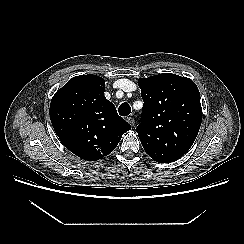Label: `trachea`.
Listing matches in <instances>:
<instances>
[{
	"label": "trachea",
	"mask_w": 244,
	"mask_h": 244,
	"mask_svg": "<svg viewBox=\"0 0 244 244\" xmlns=\"http://www.w3.org/2000/svg\"><path fill=\"white\" fill-rule=\"evenodd\" d=\"M118 112L121 116H128L131 113V107L128 103H122L119 108Z\"/></svg>",
	"instance_id": "trachea-1"
}]
</instances>
